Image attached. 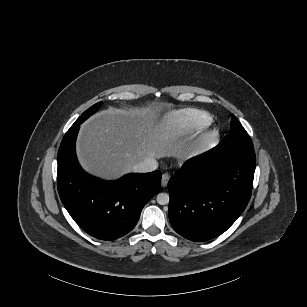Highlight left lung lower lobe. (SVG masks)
I'll list each match as a JSON object with an SVG mask.
<instances>
[{
  "label": "left lung lower lobe",
  "instance_id": "0a47b994",
  "mask_svg": "<svg viewBox=\"0 0 307 307\" xmlns=\"http://www.w3.org/2000/svg\"><path fill=\"white\" fill-rule=\"evenodd\" d=\"M255 166L254 148L226 145L185 162L168 182L174 230L197 242L225 232L250 200Z\"/></svg>",
  "mask_w": 307,
  "mask_h": 307
}]
</instances>
